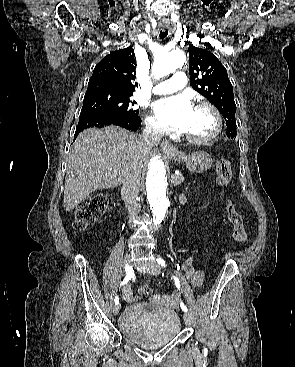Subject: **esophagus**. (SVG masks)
<instances>
[{"mask_svg":"<svg viewBox=\"0 0 295 367\" xmlns=\"http://www.w3.org/2000/svg\"><path fill=\"white\" fill-rule=\"evenodd\" d=\"M162 148L166 152H174L175 151V148L173 147V145L168 140H163L162 141Z\"/></svg>","mask_w":295,"mask_h":367,"instance_id":"34e87169","label":"esophagus"}]
</instances>
